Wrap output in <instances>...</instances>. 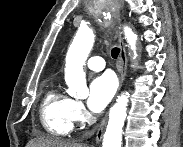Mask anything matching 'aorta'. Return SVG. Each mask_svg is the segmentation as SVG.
<instances>
[{"label":"aorta","mask_w":183,"mask_h":147,"mask_svg":"<svg viewBox=\"0 0 183 147\" xmlns=\"http://www.w3.org/2000/svg\"><path fill=\"white\" fill-rule=\"evenodd\" d=\"M125 38L136 58L137 35L128 27L124 28ZM95 39L91 28H79L71 43L65 64V82L68 94L75 98H87L89 90L83 70L85 61L93 47ZM128 93H122L109 112V121L104 134L102 147H121L122 128L127 116Z\"/></svg>","instance_id":"762f6f07"}]
</instances>
